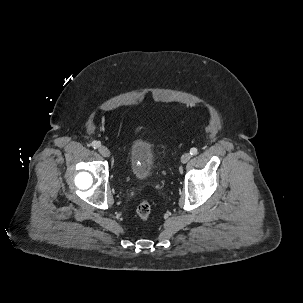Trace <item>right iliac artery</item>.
<instances>
[{"instance_id": "1", "label": "right iliac artery", "mask_w": 303, "mask_h": 303, "mask_svg": "<svg viewBox=\"0 0 303 303\" xmlns=\"http://www.w3.org/2000/svg\"><path fill=\"white\" fill-rule=\"evenodd\" d=\"M91 146L94 147V148H98V147L100 146V142H98V141H93V142L91 143Z\"/></svg>"}]
</instances>
